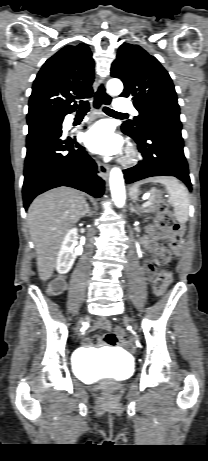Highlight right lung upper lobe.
I'll return each instance as SVG.
<instances>
[{
    "label": "right lung upper lobe",
    "mask_w": 208,
    "mask_h": 461,
    "mask_svg": "<svg viewBox=\"0 0 208 461\" xmlns=\"http://www.w3.org/2000/svg\"><path fill=\"white\" fill-rule=\"evenodd\" d=\"M94 60L88 45L63 47L42 66L34 80L27 118H64L77 109V98L93 94Z\"/></svg>",
    "instance_id": "right-lung-upper-lobe-1"
}]
</instances>
